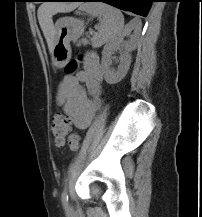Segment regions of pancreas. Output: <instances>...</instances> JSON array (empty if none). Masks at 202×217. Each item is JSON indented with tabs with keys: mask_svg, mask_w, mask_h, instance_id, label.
Returning a JSON list of instances; mask_svg holds the SVG:
<instances>
[{
	"mask_svg": "<svg viewBox=\"0 0 202 217\" xmlns=\"http://www.w3.org/2000/svg\"><path fill=\"white\" fill-rule=\"evenodd\" d=\"M82 43L88 44V41L86 39H82Z\"/></svg>",
	"mask_w": 202,
	"mask_h": 217,
	"instance_id": "1",
	"label": "pancreas"
}]
</instances>
